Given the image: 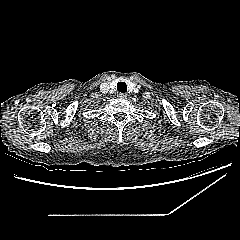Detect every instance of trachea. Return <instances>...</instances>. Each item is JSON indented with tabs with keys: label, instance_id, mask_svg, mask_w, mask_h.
I'll list each match as a JSON object with an SVG mask.
<instances>
[{
	"label": "trachea",
	"instance_id": "1",
	"mask_svg": "<svg viewBox=\"0 0 240 240\" xmlns=\"http://www.w3.org/2000/svg\"><path fill=\"white\" fill-rule=\"evenodd\" d=\"M117 90L121 93L127 92V85L125 82H118L117 84Z\"/></svg>",
	"mask_w": 240,
	"mask_h": 240
}]
</instances>
